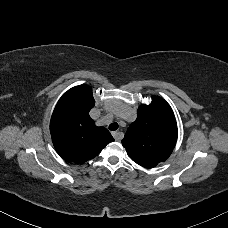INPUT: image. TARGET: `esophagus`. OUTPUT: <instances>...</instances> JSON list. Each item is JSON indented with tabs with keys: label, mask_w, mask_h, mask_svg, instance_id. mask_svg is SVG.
Returning <instances> with one entry per match:
<instances>
[{
	"label": "esophagus",
	"mask_w": 228,
	"mask_h": 228,
	"mask_svg": "<svg viewBox=\"0 0 228 228\" xmlns=\"http://www.w3.org/2000/svg\"><path fill=\"white\" fill-rule=\"evenodd\" d=\"M112 135L115 138V140L119 141L123 137V132H113Z\"/></svg>",
	"instance_id": "34e87169"
}]
</instances>
